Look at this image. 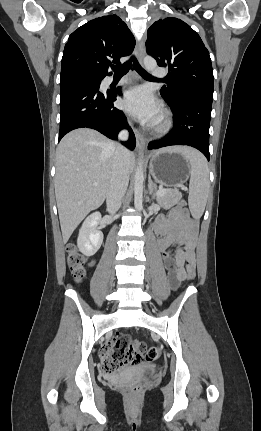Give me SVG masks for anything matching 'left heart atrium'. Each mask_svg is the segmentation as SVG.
<instances>
[{
    "label": "left heart atrium",
    "mask_w": 261,
    "mask_h": 431,
    "mask_svg": "<svg viewBox=\"0 0 261 431\" xmlns=\"http://www.w3.org/2000/svg\"><path fill=\"white\" fill-rule=\"evenodd\" d=\"M122 106L126 111L146 122L155 123L159 119L160 105L146 87H136L128 91Z\"/></svg>",
    "instance_id": "obj_1"
}]
</instances>
